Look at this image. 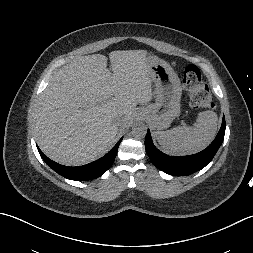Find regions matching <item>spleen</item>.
Returning <instances> with one entry per match:
<instances>
[{
  "instance_id": "1",
  "label": "spleen",
  "mask_w": 253,
  "mask_h": 253,
  "mask_svg": "<svg viewBox=\"0 0 253 253\" xmlns=\"http://www.w3.org/2000/svg\"><path fill=\"white\" fill-rule=\"evenodd\" d=\"M217 128V114L208 110L198 114L194 127L178 126L167 131H157L156 139L169 154L190 155L206 148L214 139Z\"/></svg>"
}]
</instances>
